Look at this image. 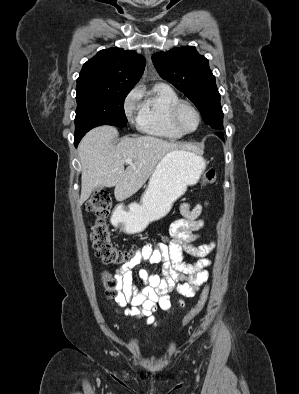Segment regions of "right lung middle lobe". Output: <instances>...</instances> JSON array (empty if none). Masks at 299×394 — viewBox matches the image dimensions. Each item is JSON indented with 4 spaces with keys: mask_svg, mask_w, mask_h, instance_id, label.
Returning a JSON list of instances; mask_svg holds the SVG:
<instances>
[{
    "mask_svg": "<svg viewBox=\"0 0 299 394\" xmlns=\"http://www.w3.org/2000/svg\"><path fill=\"white\" fill-rule=\"evenodd\" d=\"M75 132L86 133L99 125L127 126L124 100L130 89H76Z\"/></svg>",
    "mask_w": 299,
    "mask_h": 394,
    "instance_id": "dd1d6c3e",
    "label": "right lung middle lobe"
}]
</instances>
